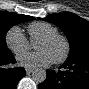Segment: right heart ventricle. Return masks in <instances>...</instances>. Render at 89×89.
Returning <instances> with one entry per match:
<instances>
[{
  "instance_id": "1",
  "label": "right heart ventricle",
  "mask_w": 89,
  "mask_h": 89,
  "mask_svg": "<svg viewBox=\"0 0 89 89\" xmlns=\"http://www.w3.org/2000/svg\"><path fill=\"white\" fill-rule=\"evenodd\" d=\"M28 33L31 42H37L40 38L58 33V29L48 22H34L28 26Z\"/></svg>"
}]
</instances>
